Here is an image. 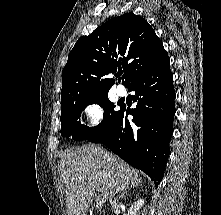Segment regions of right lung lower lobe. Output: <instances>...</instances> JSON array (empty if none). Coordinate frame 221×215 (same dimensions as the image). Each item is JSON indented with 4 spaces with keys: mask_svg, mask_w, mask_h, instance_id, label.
<instances>
[{
    "mask_svg": "<svg viewBox=\"0 0 221 215\" xmlns=\"http://www.w3.org/2000/svg\"><path fill=\"white\" fill-rule=\"evenodd\" d=\"M127 88L135 92L136 108L126 110L121 106L114 123L88 140L107 146L128 164L145 172L157 187L163 179L170 153L169 141L175 115L169 57ZM128 114L133 116L132 121L127 120Z\"/></svg>",
    "mask_w": 221,
    "mask_h": 215,
    "instance_id": "obj_1",
    "label": "right lung lower lobe"
}]
</instances>
